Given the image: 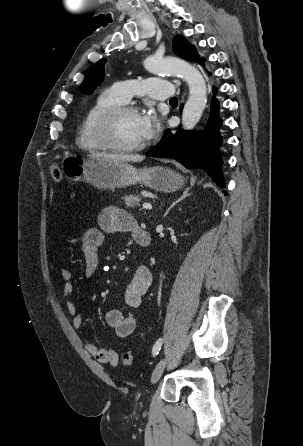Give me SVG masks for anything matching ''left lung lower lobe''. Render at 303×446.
Masks as SVG:
<instances>
[{
	"label": "left lung lower lobe",
	"mask_w": 303,
	"mask_h": 446,
	"mask_svg": "<svg viewBox=\"0 0 303 446\" xmlns=\"http://www.w3.org/2000/svg\"><path fill=\"white\" fill-rule=\"evenodd\" d=\"M216 92L217 89L213 88V93ZM182 107L183 105H181V110ZM219 108V102L213 98L210 117L202 133L182 129L175 134L166 131L158 145L146 155L159 158L169 157L189 169H203L219 187L224 188L225 182L221 172L223 161L219 150L222 143L219 128L223 121L219 117Z\"/></svg>",
	"instance_id": "1"
}]
</instances>
